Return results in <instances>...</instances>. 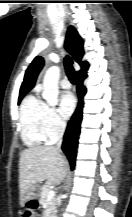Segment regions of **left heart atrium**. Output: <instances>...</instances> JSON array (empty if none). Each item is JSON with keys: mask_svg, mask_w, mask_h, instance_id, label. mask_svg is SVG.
<instances>
[{"mask_svg": "<svg viewBox=\"0 0 132 217\" xmlns=\"http://www.w3.org/2000/svg\"><path fill=\"white\" fill-rule=\"evenodd\" d=\"M75 97L70 92H65L61 95L59 100V111L62 117L69 118L75 109Z\"/></svg>", "mask_w": 132, "mask_h": 217, "instance_id": "obj_1", "label": "left heart atrium"}]
</instances>
